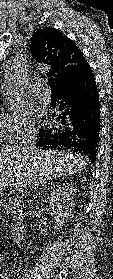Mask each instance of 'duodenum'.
I'll return each instance as SVG.
<instances>
[{
  "instance_id": "1",
  "label": "duodenum",
  "mask_w": 113,
  "mask_h": 279,
  "mask_svg": "<svg viewBox=\"0 0 113 279\" xmlns=\"http://www.w3.org/2000/svg\"><path fill=\"white\" fill-rule=\"evenodd\" d=\"M26 234V223L23 219H19L12 229V238L18 242L24 238Z\"/></svg>"
}]
</instances>
